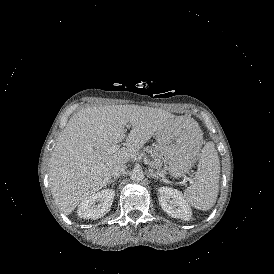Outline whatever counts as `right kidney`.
<instances>
[{
    "mask_svg": "<svg viewBox=\"0 0 274 274\" xmlns=\"http://www.w3.org/2000/svg\"><path fill=\"white\" fill-rule=\"evenodd\" d=\"M115 191L102 190L84 198L77 209L78 216L83 219H99L109 212Z\"/></svg>",
    "mask_w": 274,
    "mask_h": 274,
    "instance_id": "1",
    "label": "right kidney"
}]
</instances>
